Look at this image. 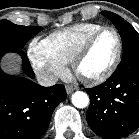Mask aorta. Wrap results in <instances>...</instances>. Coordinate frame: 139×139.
<instances>
[{"mask_svg": "<svg viewBox=\"0 0 139 139\" xmlns=\"http://www.w3.org/2000/svg\"><path fill=\"white\" fill-rule=\"evenodd\" d=\"M72 104L77 108H85L89 104V96L82 91H76L71 97Z\"/></svg>", "mask_w": 139, "mask_h": 139, "instance_id": "1", "label": "aorta"}]
</instances>
